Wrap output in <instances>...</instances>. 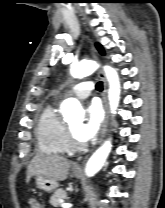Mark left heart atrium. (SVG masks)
<instances>
[{
	"mask_svg": "<svg viewBox=\"0 0 165 208\" xmlns=\"http://www.w3.org/2000/svg\"><path fill=\"white\" fill-rule=\"evenodd\" d=\"M103 114L98 102L92 101L86 108V118L79 125L77 137L82 142L91 141L98 133Z\"/></svg>",
	"mask_w": 165,
	"mask_h": 208,
	"instance_id": "obj_1",
	"label": "left heart atrium"
}]
</instances>
